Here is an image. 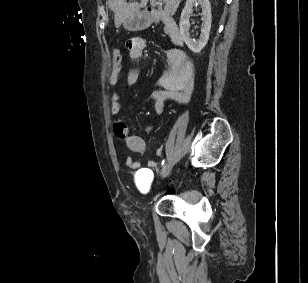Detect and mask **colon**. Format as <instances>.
Masks as SVG:
<instances>
[{
    "label": "colon",
    "mask_w": 308,
    "mask_h": 283,
    "mask_svg": "<svg viewBox=\"0 0 308 283\" xmlns=\"http://www.w3.org/2000/svg\"><path fill=\"white\" fill-rule=\"evenodd\" d=\"M113 65L114 67L119 66L122 60L121 51L119 49H114L112 53Z\"/></svg>",
    "instance_id": "colon-1"
}]
</instances>
